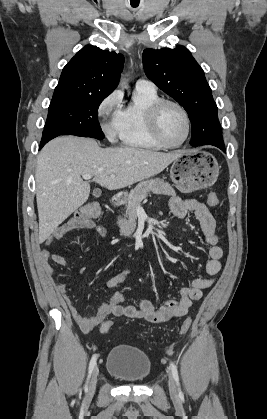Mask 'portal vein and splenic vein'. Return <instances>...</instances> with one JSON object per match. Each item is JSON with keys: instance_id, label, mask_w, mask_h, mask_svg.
<instances>
[{"instance_id": "18ae733b", "label": "portal vein and splenic vein", "mask_w": 267, "mask_h": 419, "mask_svg": "<svg viewBox=\"0 0 267 419\" xmlns=\"http://www.w3.org/2000/svg\"><path fill=\"white\" fill-rule=\"evenodd\" d=\"M82 177H83V179L88 180V179L92 178V175L85 174V175H82ZM111 177L113 178V177H115V175L114 174H111Z\"/></svg>"}]
</instances>
